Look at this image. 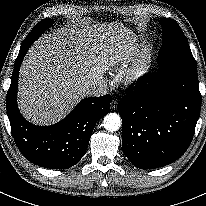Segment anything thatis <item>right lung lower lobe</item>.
Listing matches in <instances>:
<instances>
[{
    "instance_id": "obj_1",
    "label": "right lung lower lobe",
    "mask_w": 206,
    "mask_h": 206,
    "mask_svg": "<svg viewBox=\"0 0 206 206\" xmlns=\"http://www.w3.org/2000/svg\"><path fill=\"white\" fill-rule=\"evenodd\" d=\"M36 39L27 37L16 58L7 92V115L15 143L26 159L44 168L67 169L84 156L95 123L110 112L111 96L82 100L55 125L35 126L26 121L17 106L18 74L27 50Z\"/></svg>"
}]
</instances>
